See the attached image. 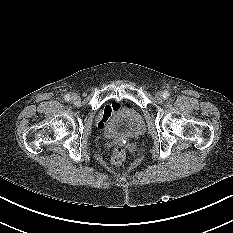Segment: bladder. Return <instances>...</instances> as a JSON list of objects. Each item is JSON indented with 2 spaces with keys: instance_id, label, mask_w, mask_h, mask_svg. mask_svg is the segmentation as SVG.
I'll use <instances>...</instances> for the list:
<instances>
[{
  "instance_id": "31cf9c89",
  "label": "bladder",
  "mask_w": 233,
  "mask_h": 233,
  "mask_svg": "<svg viewBox=\"0 0 233 233\" xmlns=\"http://www.w3.org/2000/svg\"><path fill=\"white\" fill-rule=\"evenodd\" d=\"M142 115L131 106L122 107L105 125L103 132L111 139H129L144 134Z\"/></svg>"
}]
</instances>
